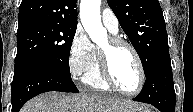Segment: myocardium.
<instances>
[{"mask_svg":"<svg viewBox=\"0 0 193 112\" xmlns=\"http://www.w3.org/2000/svg\"><path fill=\"white\" fill-rule=\"evenodd\" d=\"M108 41H109V48L108 49H102V48L98 49L99 66H100L101 75H102L104 81L107 83V85L110 88H112L113 90H115L116 92H118L120 94H123L126 96L138 95L142 91V89L145 85L146 76H145L144 66H143L141 57H140L137 49L134 47V45L132 43H130L129 41H127L121 37L112 36L108 39ZM120 46H125V47L130 49V51L134 55V58L136 60L137 66H138L139 84H138V87L134 91L123 90L117 84V82L115 81V79L111 73L110 64H109V52L111 49H114V48H117Z\"/></svg>","mask_w":193,"mask_h":112,"instance_id":"myocardium-1","label":"myocardium"}]
</instances>
